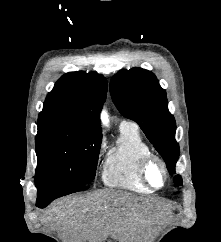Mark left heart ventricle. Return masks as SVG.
Returning a JSON list of instances; mask_svg holds the SVG:
<instances>
[{
    "mask_svg": "<svg viewBox=\"0 0 221 242\" xmlns=\"http://www.w3.org/2000/svg\"><path fill=\"white\" fill-rule=\"evenodd\" d=\"M148 176H149L151 183L154 186L159 187L163 184L164 175H163L161 167L158 164L154 163L150 166V168L148 170Z\"/></svg>",
    "mask_w": 221,
    "mask_h": 242,
    "instance_id": "1",
    "label": "left heart ventricle"
}]
</instances>
